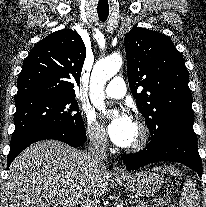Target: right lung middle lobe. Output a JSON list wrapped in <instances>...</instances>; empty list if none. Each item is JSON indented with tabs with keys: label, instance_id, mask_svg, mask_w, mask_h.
<instances>
[{
	"label": "right lung middle lobe",
	"instance_id": "dd1d6c3e",
	"mask_svg": "<svg viewBox=\"0 0 206 207\" xmlns=\"http://www.w3.org/2000/svg\"><path fill=\"white\" fill-rule=\"evenodd\" d=\"M74 98V96L41 94L15 100V130L12 139L45 127L84 133L85 127Z\"/></svg>",
	"mask_w": 206,
	"mask_h": 207
}]
</instances>
